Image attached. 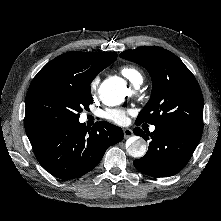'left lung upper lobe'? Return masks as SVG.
I'll return each mask as SVG.
<instances>
[{
    "instance_id": "1",
    "label": "left lung upper lobe",
    "mask_w": 221,
    "mask_h": 221,
    "mask_svg": "<svg viewBox=\"0 0 221 221\" xmlns=\"http://www.w3.org/2000/svg\"><path fill=\"white\" fill-rule=\"evenodd\" d=\"M119 56L143 66L153 82L150 100L136 124L146 122L202 134V92L194 75L176 55L161 47L142 46Z\"/></svg>"
}]
</instances>
